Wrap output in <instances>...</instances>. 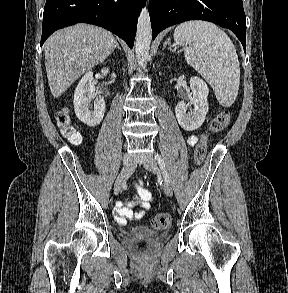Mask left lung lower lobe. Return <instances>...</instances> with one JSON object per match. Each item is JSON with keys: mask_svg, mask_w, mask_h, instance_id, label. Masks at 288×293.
Here are the masks:
<instances>
[{"mask_svg": "<svg viewBox=\"0 0 288 293\" xmlns=\"http://www.w3.org/2000/svg\"><path fill=\"white\" fill-rule=\"evenodd\" d=\"M153 39L163 29L189 20H205L230 29L246 51L242 0H149Z\"/></svg>", "mask_w": 288, "mask_h": 293, "instance_id": "left-lung-lower-lobe-1", "label": "left lung lower lobe"}]
</instances>
